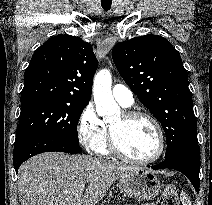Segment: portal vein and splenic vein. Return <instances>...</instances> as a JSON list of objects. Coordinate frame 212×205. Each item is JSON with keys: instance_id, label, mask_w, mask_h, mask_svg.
<instances>
[{"instance_id": "1", "label": "portal vein and splenic vein", "mask_w": 212, "mask_h": 205, "mask_svg": "<svg viewBox=\"0 0 212 205\" xmlns=\"http://www.w3.org/2000/svg\"><path fill=\"white\" fill-rule=\"evenodd\" d=\"M84 187H85V184H82V185L80 186V188H79V191H80V192H83V191H84Z\"/></svg>"}]
</instances>
